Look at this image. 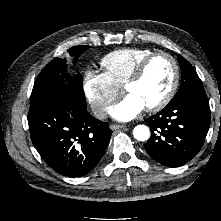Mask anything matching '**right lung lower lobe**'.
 Returning a JSON list of instances; mask_svg holds the SVG:
<instances>
[{
  "instance_id": "right-lung-lower-lobe-1",
  "label": "right lung lower lobe",
  "mask_w": 221,
  "mask_h": 221,
  "mask_svg": "<svg viewBox=\"0 0 221 221\" xmlns=\"http://www.w3.org/2000/svg\"><path fill=\"white\" fill-rule=\"evenodd\" d=\"M30 135L44 161L56 172L80 177L92 170L109 144V124L87 111L86 101L58 91L30 103Z\"/></svg>"
}]
</instances>
